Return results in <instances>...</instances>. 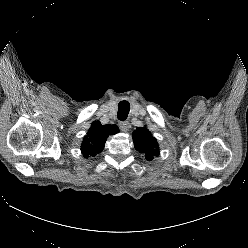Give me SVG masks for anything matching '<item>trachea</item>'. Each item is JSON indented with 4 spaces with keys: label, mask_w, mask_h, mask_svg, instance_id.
I'll return each instance as SVG.
<instances>
[{
    "label": "trachea",
    "mask_w": 248,
    "mask_h": 248,
    "mask_svg": "<svg viewBox=\"0 0 248 248\" xmlns=\"http://www.w3.org/2000/svg\"><path fill=\"white\" fill-rule=\"evenodd\" d=\"M130 110V104L127 101H121L118 105V119L121 121L126 120Z\"/></svg>",
    "instance_id": "3493384b"
}]
</instances>
